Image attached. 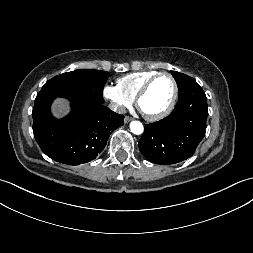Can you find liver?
Returning a JSON list of instances; mask_svg holds the SVG:
<instances>
[{"label":"liver","mask_w":253,"mask_h":253,"mask_svg":"<svg viewBox=\"0 0 253 253\" xmlns=\"http://www.w3.org/2000/svg\"><path fill=\"white\" fill-rule=\"evenodd\" d=\"M69 111L68 102L63 99H56L52 106V114L56 118H61Z\"/></svg>","instance_id":"6515ba94"}]
</instances>
